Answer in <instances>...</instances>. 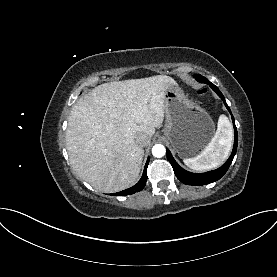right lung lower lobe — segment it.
<instances>
[{"mask_svg":"<svg viewBox=\"0 0 277 277\" xmlns=\"http://www.w3.org/2000/svg\"><path fill=\"white\" fill-rule=\"evenodd\" d=\"M148 163H149V158L147 159V162L145 164V167H144V171H143V175L141 177V179L139 180V182L137 184H135L133 187L131 188H128L126 190H123V191H120L119 193H114L112 194L113 196L114 195H118V196H126V195H131V194H134L135 192H139L141 191L144 186L146 185V181H147V166H148Z\"/></svg>","mask_w":277,"mask_h":277,"instance_id":"right-lung-lower-lobe-1","label":"right lung lower lobe"}]
</instances>
